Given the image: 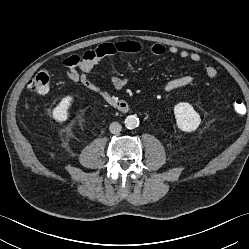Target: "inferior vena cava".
<instances>
[{
  "label": "inferior vena cava",
  "mask_w": 249,
  "mask_h": 249,
  "mask_svg": "<svg viewBox=\"0 0 249 249\" xmlns=\"http://www.w3.org/2000/svg\"><path fill=\"white\" fill-rule=\"evenodd\" d=\"M121 129H122V126L118 122H112L109 126V130L113 134L119 133Z\"/></svg>",
  "instance_id": "602c4592"
}]
</instances>
